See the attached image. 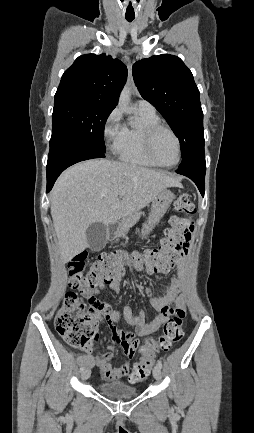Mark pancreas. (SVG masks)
Segmentation results:
<instances>
[{
	"label": "pancreas",
	"mask_w": 254,
	"mask_h": 433,
	"mask_svg": "<svg viewBox=\"0 0 254 433\" xmlns=\"http://www.w3.org/2000/svg\"><path fill=\"white\" fill-rule=\"evenodd\" d=\"M141 217V212H134L124 217L118 225L117 236H122L130 227L135 225Z\"/></svg>",
	"instance_id": "1"
}]
</instances>
